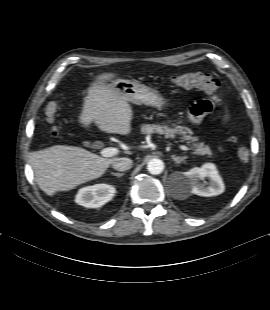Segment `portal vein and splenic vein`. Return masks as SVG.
<instances>
[{"label":"portal vein and splenic vein","mask_w":270,"mask_h":310,"mask_svg":"<svg viewBox=\"0 0 270 310\" xmlns=\"http://www.w3.org/2000/svg\"><path fill=\"white\" fill-rule=\"evenodd\" d=\"M180 148L184 151H189L190 148L185 146V145H180ZM119 152V150L117 148H114V147H107V148H104L100 151V154L103 156V157H112V156H115L117 155Z\"/></svg>","instance_id":"portal-vein-and-splenic-vein-1"}]
</instances>
